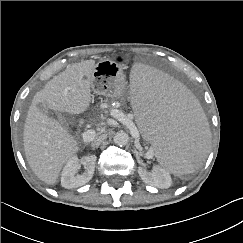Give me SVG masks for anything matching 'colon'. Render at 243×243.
<instances>
[{
  "label": "colon",
  "mask_w": 243,
  "mask_h": 243,
  "mask_svg": "<svg viewBox=\"0 0 243 243\" xmlns=\"http://www.w3.org/2000/svg\"><path fill=\"white\" fill-rule=\"evenodd\" d=\"M117 62H118V63H121V62H122V58H120V57L117 58Z\"/></svg>",
  "instance_id": "1"
}]
</instances>
